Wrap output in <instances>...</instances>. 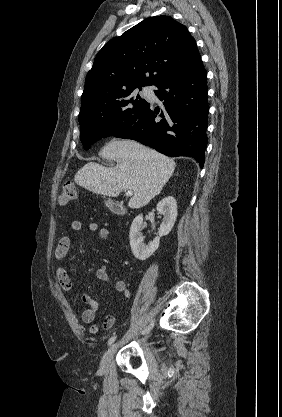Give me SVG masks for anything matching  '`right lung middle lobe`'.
<instances>
[{
  "instance_id": "obj_1",
  "label": "right lung middle lobe",
  "mask_w": 282,
  "mask_h": 417,
  "mask_svg": "<svg viewBox=\"0 0 282 417\" xmlns=\"http://www.w3.org/2000/svg\"><path fill=\"white\" fill-rule=\"evenodd\" d=\"M135 89L102 93L81 101L80 139L85 150L128 127L149 105Z\"/></svg>"
}]
</instances>
